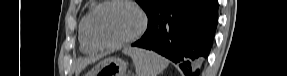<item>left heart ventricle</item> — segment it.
Listing matches in <instances>:
<instances>
[{
	"label": "left heart ventricle",
	"mask_w": 287,
	"mask_h": 76,
	"mask_svg": "<svg viewBox=\"0 0 287 76\" xmlns=\"http://www.w3.org/2000/svg\"><path fill=\"white\" fill-rule=\"evenodd\" d=\"M139 25L140 17L132 7L114 3L97 12L93 31L100 41L114 43L131 36Z\"/></svg>",
	"instance_id": "1"
}]
</instances>
